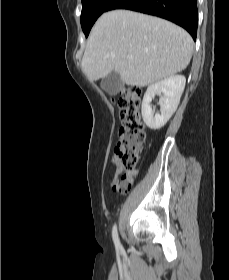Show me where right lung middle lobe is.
Returning <instances> with one entry per match:
<instances>
[{
	"label": "right lung middle lobe",
	"instance_id": "right-lung-middle-lobe-1",
	"mask_svg": "<svg viewBox=\"0 0 229 280\" xmlns=\"http://www.w3.org/2000/svg\"><path fill=\"white\" fill-rule=\"evenodd\" d=\"M114 0H82L81 26L86 37L97 18Z\"/></svg>",
	"mask_w": 229,
	"mask_h": 280
}]
</instances>
